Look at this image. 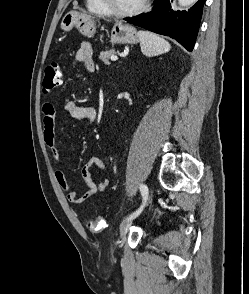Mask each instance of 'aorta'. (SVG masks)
Listing matches in <instances>:
<instances>
[{
    "label": "aorta",
    "mask_w": 249,
    "mask_h": 294,
    "mask_svg": "<svg viewBox=\"0 0 249 294\" xmlns=\"http://www.w3.org/2000/svg\"><path fill=\"white\" fill-rule=\"evenodd\" d=\"M178 2L181 7H187L196 3L197 0H178Z\"/></svg>",
    "instance_id": "obj_1"
}]
</instances>
